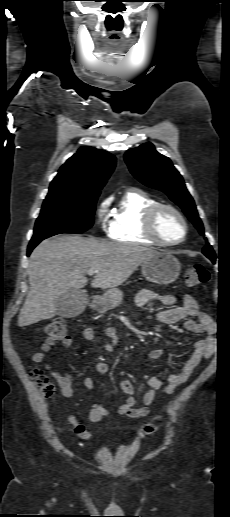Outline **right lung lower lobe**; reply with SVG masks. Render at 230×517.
<instances>
[{"label":"right lung lower lobe","mask_w":230,"mask_h":517,"mask_svg":"<svg viewBox=\"0 0 230 517\" xmlns=\"http://www.w3.org/2000/svg\"><path fill=\"white\" fill-rule=\"evenodd\" d=\"M41 241H37V242H30V244L28 245V251H27V256L30 255L31 251L40 243Z\"/></svg>","instance_id":"obj_1"}]
</instances>
